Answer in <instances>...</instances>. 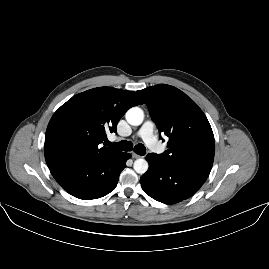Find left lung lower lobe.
<instances>
[{
	"label": "left lung lower lobe",
	"mask_w": 269,
	"mask_h": 269,
	"mask_svg": "<svg viewBox=\"0 0 269 269\" xmlns=\"http://www.w3.org/2000/svg\"><path fill=\"white\" fill-rule=\"evenodd\" d=\"M148 171L140 178L141 186L153 199L175 204L194 195L207 179V175L169 165L148 154Z\"/></svg>",
	"instance_id": "left-lung-lower-lobe-1"
}]
</instances>
